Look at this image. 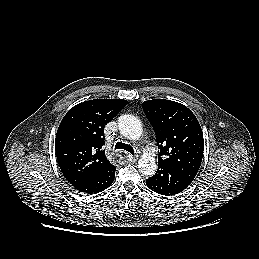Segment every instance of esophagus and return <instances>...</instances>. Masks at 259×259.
<instances>
[{"label": "esophagus", "mask_w": 259, "mask_h": 259, "mask_svg": "<svg viewBox=\"0 0 259 259\" xmlns=\"http://www.w3.org/2000/svg\"><path fill=\"white\" fill-rule=\"evenodd\" d=\"M127 159H128V161H130V162H136V161H137V156L128 154V155H127Z\"/></svg>", "instance_id": "1"}]
</instances>
